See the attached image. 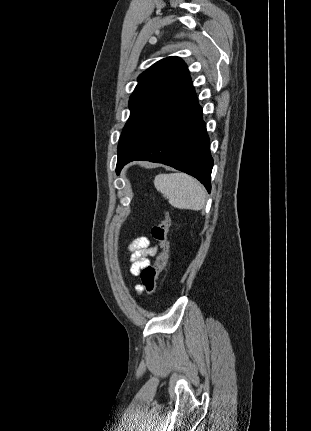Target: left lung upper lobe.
I'll list each match as a JSON object with an SVG mask.
<instances>
[{"mask_svg": "<svg viewBox=\"0 0 311 431\" xmlns=\"http://www.w3.org/2000/svg\"><path fill=\"white\" fill-rule=\"evenodd\" d=\"M190 81L186 64L175 56L156 62L138 77L129 99L130 117L120 136L118 155L130 147L151 118Z\"/></svg>", "mask_w": 311, "mask_h": 431, "instance_id": "1", "label": "left lung upper lobe"}]
</instances>
